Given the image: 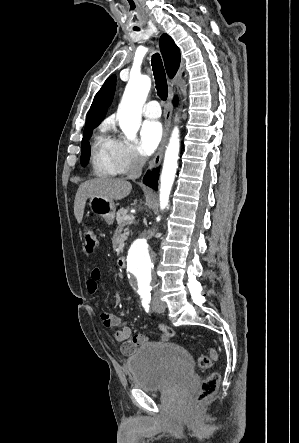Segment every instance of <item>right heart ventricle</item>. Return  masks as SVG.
<instances>
[{
	"label": "right heart ventricle",
	"mask_w": 299,
	"mask_h": 443,
	"mask_svg": "<svg viewBox=\"0 0 299 443\" xmlns=\"http://www.w3.org/2000/svg\"><path fill=\"white\" fill-rule=\"evenodd\" d=\"M91 166L93 173L101 177L119 174L115 160L114 140L104 133L95 136L91 147Z\"/></svg>",
	"instance_id": "1"
}]
</instances>
